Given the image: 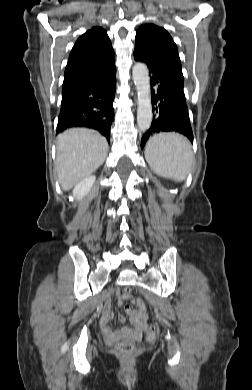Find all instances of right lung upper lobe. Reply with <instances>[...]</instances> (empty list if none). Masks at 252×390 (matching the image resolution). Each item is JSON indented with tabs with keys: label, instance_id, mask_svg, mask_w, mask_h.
<instances>
[{
	"label": "right lung upper lobe",
	"instance_id": "cb5924a9",
	"mask_svg": "<svg viewBox=\"0 0 252 390\" xmlns=\"http://www.w3.org/2000/svg\"><path fill=\"white\" fill-rule=\"evenodd\" d=\"M114 66V51L106 31L93 27L78 38L71 50L62 93L80 83L105 76Z\"/></svg>",
	"mask_w": 252,
	"mask_h": 390
}]
</instances>
